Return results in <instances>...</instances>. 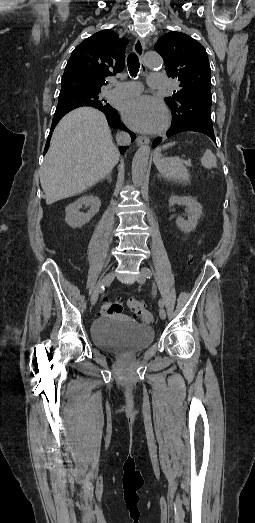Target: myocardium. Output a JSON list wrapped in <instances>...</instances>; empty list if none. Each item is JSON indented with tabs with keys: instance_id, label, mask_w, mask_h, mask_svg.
Wrapping results in <instances>:
<instances>
[{
	"instance_id": "obj_1",
	"label": "myocardium",
	"mask_w": 255,
	"mask_h": 523,
	"mask_svg": "<svg viewBox=\"0 0 255 523\" xmlns=\"http://www.w3.org/2000/svg\"><path fill=\"white\" fill-rule=\"evenodd\" d=\"M171 122V116L169 114L166 115L164 120V127H167Z\"/></svg>"
}]
</instances>
